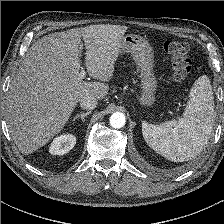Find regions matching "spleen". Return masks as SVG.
I'll use <instances>...</instances> for the list:
<instances>
[{
	"mask_svg": "<svg viewBox=\"0 0 224 224\" xmlns=\"http://www.w3.org/2000/svg\"><path fill=\"white\" fill-rule=\"evenodd\" d=\"M189 97L183 118L178 121L142 124V134L149 147L173 162L196 157L213 129L214 97L208 76H200L194 82Z\"/></svg>",
	"mask_w": 224,
	"mask_h": 224,
	"instance_id": "1",
	"label": "spleen"
}]
</instances>
